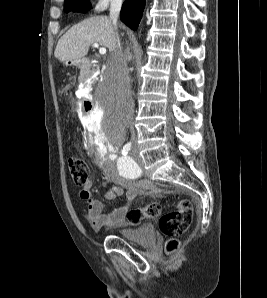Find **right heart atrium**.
Listing matches in <instances>:
<instances>
[{"label": "right heart atrium", "instance_id": "1", "mask_svg": "<svg viewBox=\"0 0 267 298\" xmlns=\"http://www.w3.org/2000/svg\"><path fill=\"white\" fill-rule=\"evenodd\" d=\"M123 0H93V10L97 13L105 11L108 7L118 5Z\"/></svg>", "mask_w": 267, "mask_h": 298}]
</instances>
